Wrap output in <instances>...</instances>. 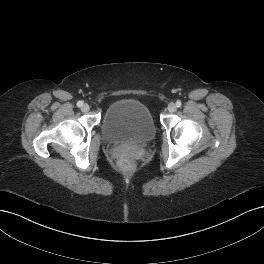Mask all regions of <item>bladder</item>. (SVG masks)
<instances>
[{"label":"bladder","instance_id":"31cf9c89","mask_svg":"<svg viewBox=\"0 0 264 264\" xmlns=\"http://www.w3.org/2000/svg\"><path fill=\"white\" fill-rule=\"evenodd\" d=\"M105 142L113 145H144L156 135V125L149 108L134 99L112 103L101 121Z\"/></svg>","mask_w":264,"mask_h":264}]
</instances>
